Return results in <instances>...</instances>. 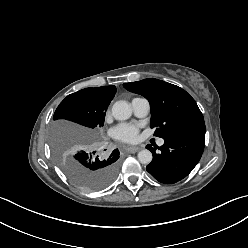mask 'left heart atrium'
I'll return each instance as SVG.
<instances>
[{
  "label": "left heart atrium",
  "mask_w": 248,
  "mask_h": 248,
  "mask_svg": "<svg viewBox=\"0 0 248 248\" xmlns=\"http://www.w3.org/2000/svg\"><path fill=\"white\" fill-rule=\"evenodd\" d=\"M139 126L134 123H121L113 128V135L122 142H134L137 139Z\"/></svg>",
  "instance_id": "39dd6f15"
}]
</instances>
